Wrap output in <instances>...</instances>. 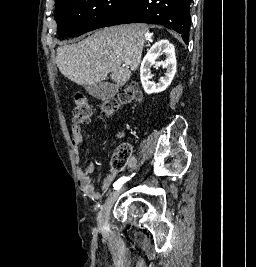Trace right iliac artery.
<instances>
[{"label":"right iliac artery","instance_id":"obj_1","mask_svg":"<svg viewBox=\"0 0 256 267\" xmlns=\"http://www.w3.org/2000/svg\"><path fill=\"white\" fill-rule=\"evenodd\" d=\"M134 175L135 174L131 175V177H133ZM128 180H130V177H121L113 184L114 189H119Z\"/></svg>","mask_w":256,"mask_h":267}]
</instances>
